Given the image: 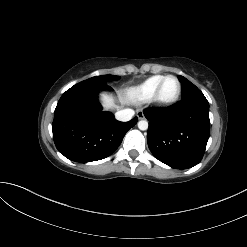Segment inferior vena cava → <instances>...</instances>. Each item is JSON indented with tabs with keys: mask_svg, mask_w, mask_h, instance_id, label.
<instances>
[{
	"mask_svg": "<svg viewBox=\"0 0 247 247\" xmlns=\"http://www.w3.org/2000/svg\"><path fill=\"white\" fill-rule=\"evenodd\" d=\"M134 111L132 109H123L116 112L115 117L119 121H129L132 119Z\"/></svg>",
	"mask_w": 247,
	"mask_h": 247,
	"instance_id": "obj_1",
	"label": "inferior vena cava"
}]
</instances>
